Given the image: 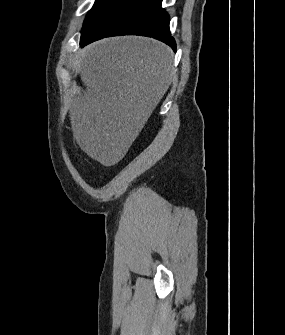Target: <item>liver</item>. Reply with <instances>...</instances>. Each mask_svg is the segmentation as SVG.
I'll list each match as a JSON object with an SVG mask.
<instances>
[{
	"label": "liver",
	"instance_id": "1",
	"mask_svg": "<svg viewBox=\"0 0 285 335\" xmlns=\"http://www.w3.org/2000/svg\"><path fill=\"white\" fill-rule=\"evenodd\" d=\"M80 52L88 92L78 96L70 112L73 136L92 160L115 166L166 94L173 52L140 36L107 38Z\"/></svg>",
	"mask_w": 285,
	"mask_h": 335
}]
</instances>
